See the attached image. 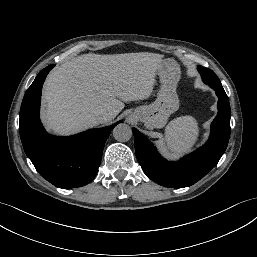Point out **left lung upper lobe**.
Listing matches in <instances>:
<instances>
[{
	"instance_id": "left-lung-upper-lobe-1",
	"label": "left lung upper lobe",
	"mask_w": 257,
	"mask_h": 257,
	"mask_svg": "<svg viewBox=\"0 0 257 257\" xmlns=\"http://www.w3.org/2000/svg\"><path fill=\"white\" fill-rule=\"evenodd\" d=\"M198 71L200 72L204 83L208 84L210 87H222L219 78L212 70L198 66Z\"/></svg>"
}]
</instances>
